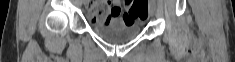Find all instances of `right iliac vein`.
I'll list each match as a JSON object with an SVG mask.
<instances>
[{
	"label": "right iliac vein",
	"instance_id": "obj_1",
	"mask_svg": "<svg viewBox=\"0 0 235 62\" xmlns=\"http://www.w3.org/2000/svg\"><path fill=\"white\" fill-rule=\"evenodd\" d=\"M84 5H85V6H87V5H88V2H87V1H85V2H84Z\"/></svg>",
	"mask_w": 235,
	"mask_h": 62
}]
</instances>
